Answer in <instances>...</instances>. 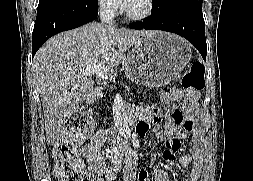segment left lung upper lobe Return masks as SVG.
<instances>
[{"mask_svg":"<svg viewBox=\"0 0 253 181\" xmlns=\"http://www.w3.org/2000/svg\"><path fill=\"white\" fill-rule=\"evenodd\" d=\"M194 4V5H202V0H155L152 6V13L156 14L163 11H166L178 4Z\"/></svg>","mask_w":253,"mask_h":181,"instance_id":"1","label":"left lung upper lobe"}]
</instances>
